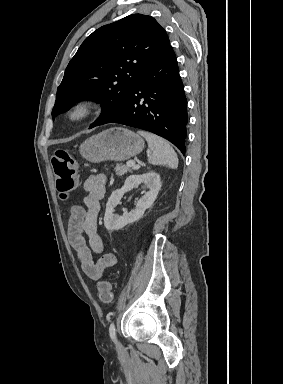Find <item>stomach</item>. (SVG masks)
<instances>
[{"instance_id": "stomach-1", "label": "stomach", "mask_w": 283, "mask_h": 384, "mask_svg": "<svg viewBox=\"0 0 283 384\" xmlns=\"http://www.w3.org/2000/svg\"><path fill=\"white\" fill-rule=\"evenodd\" d=\"M143 148L142 138L134 132L125 128H109L85 140L79 152L88 162L99 164L105 160H113V162L129 160L132 156L140 154Z\"/></svg>"}]
</instances>
